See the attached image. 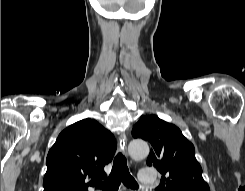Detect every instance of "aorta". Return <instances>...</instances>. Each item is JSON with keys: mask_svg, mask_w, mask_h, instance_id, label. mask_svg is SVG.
<instances>
[{"mask_svg": "<svg viewBox=\"0 0 245 191\" xmlns=\"http://www.w3.org/2000/svg\"><path fill=\"white\" fill-rule=\"evenodd\" d=\"M128 152L134 159L145 158L149 154V146L143 140H132L128 145Z\"/></svg>", "mask_w": 245, "mask_h": 191, "instance_id": "aorta-1", "label": "aorta"}]
</instances>
